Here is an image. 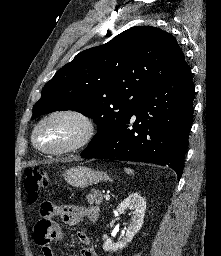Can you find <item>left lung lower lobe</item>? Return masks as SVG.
<instances>
[{"mask_svg": "<svg viewBox=\"0 0 221 256\" xmlns=\"http://www.w3.org/2000/svg\"><path fill=\"white\" fill-rule=\"evenodd\" d=\"M194 86L185 66L156 85L117 127L107 130L82 153L99 158L153 163L181 177L193 118ZM136 120L129 128L133 116Z\"/></svg>", "mask_w": 221, "mask_h": 256, "instance_id": "0a47b994", "label": "left lung lower lobe"}]
</instances>
